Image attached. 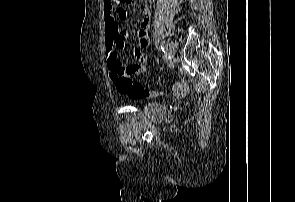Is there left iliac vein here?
<instances>
[{
  "mask_svg": "<svg viewBox=\"0 0 295 202\" xmlns=\"http://www.w3.org/2000/svg\"><path fill=\"white\" fill-rule=\"evenodd\" d=\"M167 52H168V56L170 59H172L174 57L175 54V43L174 42H169L167 45Z\"/></svg>",
  "mask_w": 295,
  "mask_h": 202,
  "instance_id": "obj_1",
  "label": "left iliac vein"
}]
</instances>
